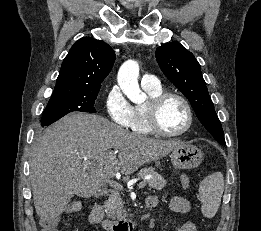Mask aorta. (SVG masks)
<instances>
[{
  "label": "aorta",
  "instance_id": "1",
  "mask_svg": "<svg viewBox=\"0 0 261 231\" xmlns=\"http://www.w3.org/2000/svg\"><path fill=\"white\" fill-rule=\"evenodd\" d=\"M138 77L139 65L134 60L124 62L118 71V85L133 103H141L146 99V94L139 87Z\"/></svg>",
  "mask_w": 261,
  "mask_h": 231
}]
</instances>
